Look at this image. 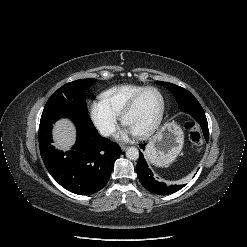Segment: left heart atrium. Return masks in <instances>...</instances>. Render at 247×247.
Returning <instances> with one entry per match:
<instances>
[{"label": "left heart atrium", "mask_w": 247, "mask_h": 247, "mask_svg": "<svg viewBox=\"0 0 247 247\" xmlns=\"http://www.w3.org/2000/svg\"><path fill=\"white\" fill-rule=\"evenodd\" d=\"M134 134L131 129L128 127L125 128V130L122 133V137H127L128 135Z\"/></svg>", "instance_id": "39dd6f15"}]
</instances>
